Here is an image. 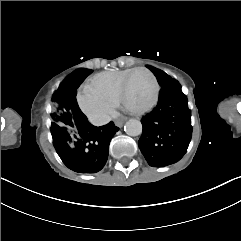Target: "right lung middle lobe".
<instances>
[{
    "instance_id": "dd1d6c3e",
    "label": "right lung middle lobe",
    "mask_w": 241,
    "mask_h": 241,
    "mask_svg": "<svg viewBox=\"0 0 241 241\" xmlns=\"http://www.w3.org/2000/svg\"><path fill=\"white\" fill-rule=\"evenodd\" d=\"M82 72L88 76L92 70L82 69ZM68 92L66 79L60 84L52 97L51 103V133L72 132L74 123L69 108L66 106L65 94Z\"/></svg>"
}]
</instances>
